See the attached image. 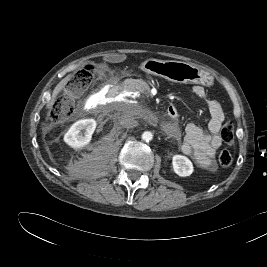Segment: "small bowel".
I'll use <instances>...</instances> for the list:
<instances>
[{"instance_id":"obj_1","label":"small bowel","mask_w":267,"mask_h":267,"mask_svg":"<svg viewBox=\"0 0 267 267\" xmlns=\"http://www.w3.org/2000/svg\"><path fill=\"white\" fill-rule=\"evenodd\" d=\"M192 92L196 97L206 101L210 114L209 133H205L194 123H188L185 128V137L181 150L184 154L191 156L201 168L214 170L216 165L213 158L222 144L219 131L225 118L224 112L218 101L208 99L204 87L196 85L193 87Z\"/></svg>"}]
</instances>
